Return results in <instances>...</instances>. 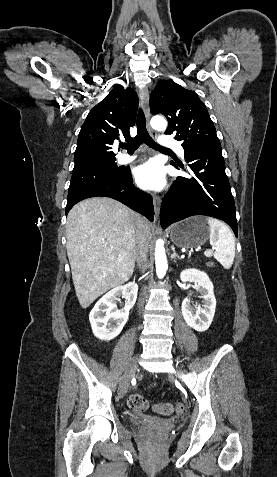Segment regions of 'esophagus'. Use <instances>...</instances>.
Here are the masks:
<instances>
[{
	"label": "esophagus",
	"instance_id": "34e87169",
	"mask_svg": "<svg viewBox=\"0 0 277 477\" xmlns=\"http://www.w3.org/2000/svg\"><path fill=\"white\" fill-rule=\"evenodd\" d=\"M139 96H140L141 104H142L143 109H144L148 129L151 132L152 136L155 137L156 135L153 133V131L150 128V125H149V120H150L151 113H150V107H149V92H148V90L146 88L140 89ZM152 198H153L155 216H156V218H158L159 212H160L161 198H160V196H158L156 194H154Z\"/></svg>",
	"mask_w": 277,
	"mask_h": 477
}]
</instances>
